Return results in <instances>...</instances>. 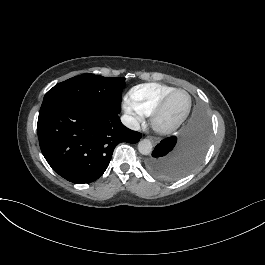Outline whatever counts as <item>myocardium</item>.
Wrapping results in <instances>:
<instances>
[{
  "mask_svg": "<svg viewBox=\"0 0 265 265\" xmlns=\"http://www.w3.org/2000/svg\"><path fill=\"white\" fill-rule=\"evenodd\" d=\"M185 92L183 89H174L172 92H170L169 94H167L158 104V106L156 107V110L153 114V125L154 128L162 133V134H167L170 133L174 130H176L177 128H179L188 118L190 110H191V100H188L185 112L183 113V115L178 118L175 121L172 122H165L163 119V115H164V111L165 108L169 102V100L177 93H183Z\"/></svg>",
  "mask_w": 265,
  "mask_h": 265,
  "instance_id": "f54148a6",
  "label": "myocardium"
}]
</instances>
